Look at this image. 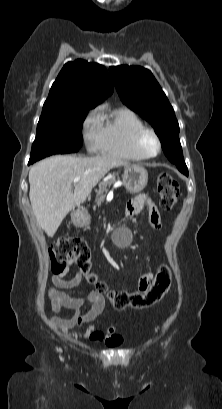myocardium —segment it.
I'll return each instance as SVG.
<instances>
[{"instance_id": "f54148a6", "label": "myocardium", "mask_w": 222, "mask_h": 409, "mask_svg": "<svg viewBox=\"0 0 222 409\" xmlns=\"http://www.w3.org/2000/svg\"><path fill=\"white\" fill-rule=\"evenodd\" d=\"M146 134H151V135L155 138L156 143H157V151H156L154 154H151V155H150V154H147V153L144 151L143 146H142V140H143V137H144ZM133 146H134L135 151H136L143 159H152V158H155V157H157V156L160 154V152H161V150H162V143H161V139H160L158 133H157L154 129L149 128V127H143V128H141L140 130H138V131L135 133L134 138H133Z\"/></svg>"}]
</instances>
